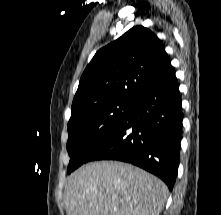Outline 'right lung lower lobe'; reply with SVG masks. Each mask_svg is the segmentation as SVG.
<instances>
[{
    "instance_id": "98d812e1",
    "label": "right lung lower lobe",
    "mask_w": 221,
    "mask_h": 215,
    "mask_svg": "<svg viewBox=\"0 0 221 215\" xmlns=\"http://www.w3.org/2000/svg\"><path fill=\"white\" fill-rule=\"evenodd\" d=\"M174 76L133 101L128 114L93 150L87 162L119 160L162 179L170 190L176 181L182 138V107Z\"/></svg>"
}]
</instances>
